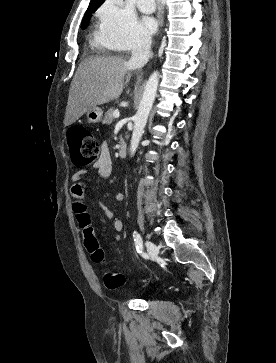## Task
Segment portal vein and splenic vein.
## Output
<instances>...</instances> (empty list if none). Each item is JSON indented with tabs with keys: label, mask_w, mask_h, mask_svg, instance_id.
<instances>
[{
	"label": "portal vein and splenic vein",
	"mask_w": 276,
	"mask_h": 363,
	"mask_svg": "<svg viewBox=\"0 0 276 363\" xmlns=\"http://www.w3.org/2000/svg\"><path fill=\"white\" fill-rule=\"evenodd\" d=\"M119 116H120V113L118 111L113 112L114 118H119Z\"/></svg>",
	"instance_id": "obj_1"
}]
</instances>
